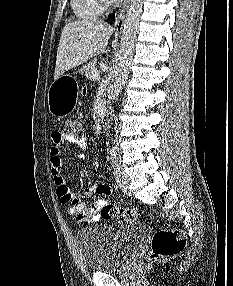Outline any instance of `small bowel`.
Here are the masks:
<instances>
[{
    "label": "small bowel",
    "mask_w": 233,
    "mask_h": 286,
    "mask_svg": "<svg viewBox=\"0 0 233 286\" xmlns=\"http://www.w3.org/2000/svg\"><path fill=\"white\" fill-rule=\"evenodd\" d=\"M65 143L76 145L79 149L87 148V140L84 137L72 138L61 137L57 132H54L51 137L50 148V168L57 186V195L63 205L67 206V214L76 216L77 221L82 224H90L98 221L99 216L97 210L108 205L106 197L112 193V187L106 183H96L86 191L89 195H96L100 198L91 206L79 199V195L68 185L63 175L62 148ZM79 163L85 164L86 157L83 153L78 155ZM76 201L75 206L72 202ZM89 212V219L86 220L80 216L81 212Z\"/></svg>",
    "instance_id": "1"
}]
</instances>
